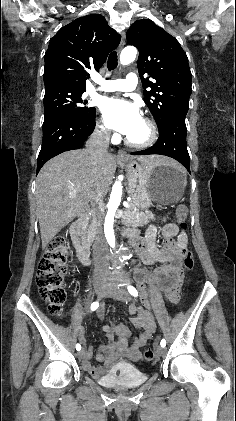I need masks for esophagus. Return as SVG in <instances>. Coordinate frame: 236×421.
<instances>
[{"instance_id": "obj_1", "label": "esophagus", "mask_w": 236, "mask_h": 421, "mask_svg": "<svg viewBox=\"0 0 236 421\" xmlns=\"http://www.w3.org/2000/svg\"><path fill=\"white\" fill-rule=\"evenodd\" d=\"M124 45H125V33L123 32L122 35H121V41H120V44H119V51L122 50ZM117 160H119V161H129V156L127 155V153L124 150H118Z\"/></svg>"}]
</instances>
